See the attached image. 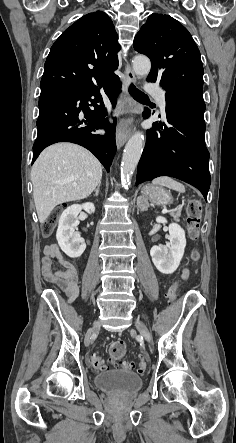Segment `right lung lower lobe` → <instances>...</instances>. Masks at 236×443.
Returning <instances> with one entry per match:
<instances>
[{
	"label": "right lung lower lobe",
	"mask_w": 236,
	"mask_h": 443,
	"mask_svg": "<svg viewBox=\"0 0 236 443\" xmlns=\"http://www.w3.org/2000/svg\"><path fill=\"white\" fill-rule=\"evenodd\" d=\"M101 87L111 103L116 104V96L121 89V82L116 75L91 87L41 90L38 134L33 145L32 163L47 146L57 142H73L90 150L109 171L116 151V124L109 123L106 118L107 111L99 91ZM89 102L94 105V110L89 108ZM81 110L84 119L80 115ZM95 129H104L107 135L94 134Z\"/></svg>",
	"instance_id": "right-lung-lower-lobe-1"
}]
</instances>
